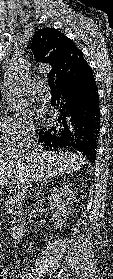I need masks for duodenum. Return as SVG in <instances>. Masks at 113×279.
I'll list each match as a JSON object with an SVG mask.
<instances>
[{
	"instance_id": "obj_1",
	"label": "duodenum",
	"mask_w": 113,
	"mask_h": 279,
	"mask_svg": "<svg viewBox=\"0 0 113 279\" xmlns=\"http://www.w3.org/2000/svg\"><path fill=\"white\" fill-rule=\"evenodd\" d=\"M26 232V227L23 222H18L14 225L12 231H11V236L14 242H19L21 241Z\"/></svg>"
}]
</instances>
